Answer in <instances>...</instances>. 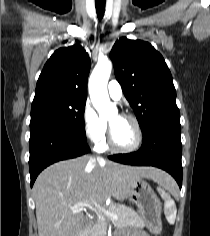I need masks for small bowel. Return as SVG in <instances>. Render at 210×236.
<instances>
[{
    "label": "small bowel",
    "mask_w": 210,
    "mask_h": 236,
    "mask_svg": "<svg viewBox=\"0 0 210 236\" xmlns=\"http://www.w3.org/2000/svg\"><path fill=\"white\" fill-rule=\"evenodd\" d=\"M117 236H148V235L142 232L128 231V232H120Z\"/></svg>",
    "instance_id": "c3829d8e"
}]
</instances>
